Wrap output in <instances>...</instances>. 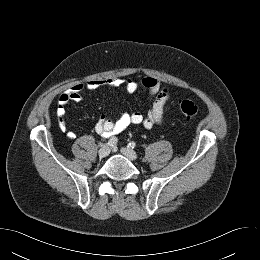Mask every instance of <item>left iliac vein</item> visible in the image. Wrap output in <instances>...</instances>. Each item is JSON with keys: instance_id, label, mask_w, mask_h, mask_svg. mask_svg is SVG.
Instances as JSON below:
<instances>
[{"instance_id": "obj_1", "label": "left iliac vein", "mask_w": 260, "mask_h": 260, "mask_svg": "<svg viewBox=\"0 0 260 260\" xmlns=\"http://www.w3.org/2000/svg\"><path fill=\"white\" fill-rule=\"evenodd\" d=\"M121 152L124 156H126L128 159H130L132 161L137 160V158H138V155L136 154V152L128 147H123L121 149Z\"/></svg>"}]
</instances>
